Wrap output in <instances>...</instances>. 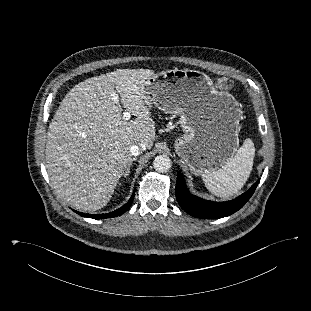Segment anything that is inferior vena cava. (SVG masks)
I'll use <instances>...</instances> for the list:
<instances>
[{"label": "inferior vena cava", "instance_id": "1", "mask_svg": "<svg viewBox=\"0 0 311 311\" xmlns=\"http://www.w3.org/2000/svg\"><path fill=\"white\" fill-rule=\"evenodd\" d=\"M146 149L145 144H140V145H132L130 147V152L133 156H137L140 153H142Z\"/></svg>", "mask_w": 311, "mask_h": 311}]
</instances>
